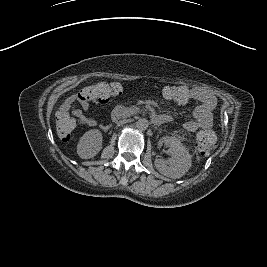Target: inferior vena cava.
I'll return each instance as SVG.
<instances>
[{
    "label": "inferior vena cava",
    "instance_id": "602c4592",
    "mask_svg": "<svg viewBox=\"0 0 267 267\" xmlns=\"http://www.w3.org/2000/svg\"><path fill=\"white\" fill-rule=\"evenodd\" d=\"M129 121V119H125V120H121V121H119L118 122V125L120 126V125H123V124H125V123H127Z\"/></svg>",
    "mask_w": 267,
    "mask_h": 267
}]
</instances>
